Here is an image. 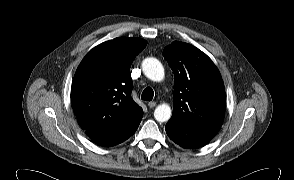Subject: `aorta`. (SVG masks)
<instances>
[{"label": "aorta", "instance_id": "obj_1", "mask_svg": "<svg viewBox=\"0 0 294 180\" xmlns=\"http://www.w3.org/2000/svg\"><path fill=\"white\" fill-rule=\"evenodd\" d=\"M142 70L146 77L152 81H162L164 78V68L159 60L149 57L143 60ZM172 114L171 108L168 104H160L154 111V117L158 122H166L170 119Z\"/></svg>", "mask_w": 294, "mask_h": 180}]
</instances>
